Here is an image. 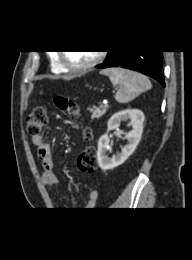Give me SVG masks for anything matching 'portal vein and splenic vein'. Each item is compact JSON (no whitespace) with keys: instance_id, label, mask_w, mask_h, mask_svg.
Listing matches in <instances>:
<instances>
[{"instance_id":"obj_1","label":"portal vein and splenic vein","mask_w":192,"mask_h":260,"mask_svg":"<svg viewBox=\"0 0 192 260\" xmlns=\"http://www.w3.org/2000/svg\"><path fill=\"white\" fill-rule=\"evenodd\" d=\"M105 107H108V103H105V105H104Z\"/></svg>"}]
</instances>
